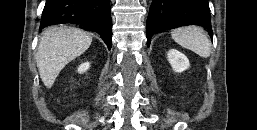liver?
I'll return each mask as SVG.
<instances>
[{"label": "liver", "instance_id": "obj_1", "mask_svg": "<svg viewBox=\"0 0 257 130\" xmlns=\"http://www.w3.org/2000/svg\"><path fill=\"white\" fill-rule=\"evenodd\" d=\"M91 43L92 37L77 28L61 26L44 30L36 54L37 67L44 85L51 88L60 71L83 54Z\"/></svg>", "mask_w": 257, "mask_h": 130}]
</instances>
